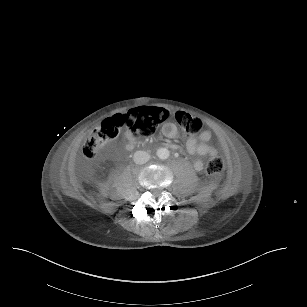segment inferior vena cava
Instances as JSON below:
<instances>
[{"label":"inferior vena cava","instance_id":"602c4592","mask_svg":"<svg viewBox=\"0 0 307 307\" xmlns=\"http://www.w3.org/2000/svg\"><path fill=\"white\" fill-rule=\"evenodd\" d=\"M133 160L136 164H145L150 160V154L146 151H136L133 155Z\"/></svg>","mask_w":307,"mask_h":307}]
</instances>
